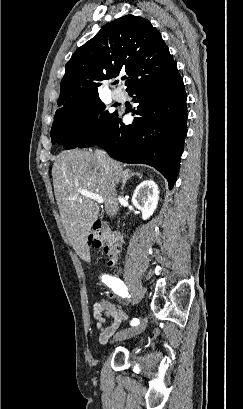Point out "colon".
I'll return each instance as SVG.
<instances>
[{
	"instance_id": "colon-1",
	"label": "colon",
	"mask_w": 243,
	"mask_h": 409,
	"mask_svg": "<svg viewBox=\"0 0 243 409\" xmlns=\"http://www.w3.org/2000/svg\"><path fill=\"white\" fill-rule=\"evenodd\" d=\"M119 235L107 232L99 222H96L88 236V244L93 247L103 248L109 255L108 264L114 265L117 259L118 249L121 246Z\"/></svg>"
}]
</instances>
